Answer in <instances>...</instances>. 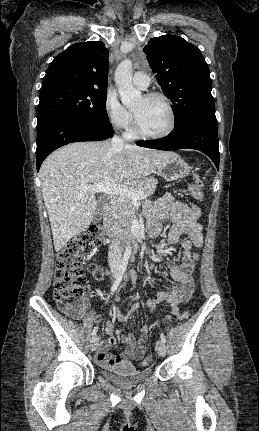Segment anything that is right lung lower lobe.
Here are the masks:
<instances>
[{"label": "right lung lower lobe", "instance_id": "right-lung-lower-lobe-1", "mask_svg": "<svg viewBox=\"0 0 259 431\" xmlns=\"http://www.w3.org/2000/svg\"><path fill=\"white\" fill-rule=\"evenodd\" d=\"M37 171L57 148L72 142L105 140L113 136L109 121L90 120L72 114H57L37 123Z\"/></svg>", "mask_w": 259, "mask_h": 431}]
</instances>
